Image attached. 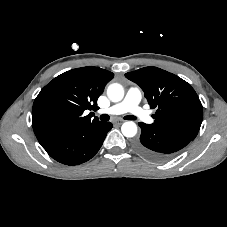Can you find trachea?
<instances>
[{
    "instance_id": "obj_1",
    "label": "trachea",
    "mask_w": 227,
    "mask_h": 227,
    "mask_svg": "<svg viewBox=\"0 0 227 227\" xmlns=\"http://www.w3.org/2000/svg\"><path fill=\"white\" fill-rule=\"evenodd\" d=\"M110 119L109 115L103 114L100 116L101 121H108ZM125 120H136V118L133 115H127L124 117Z\"/></svg>"
}]
</instances>
